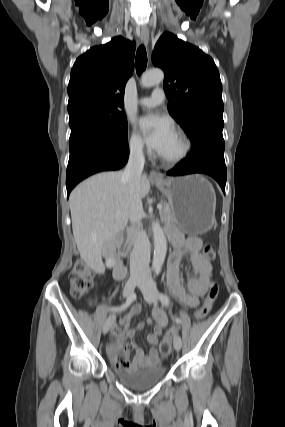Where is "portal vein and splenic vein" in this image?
I'll use <instances>...</instances> for the list:
<instances>
[{"mask_svg":"<svg viewBox=\"0 0 285 427\" xmlns=\"http://www.w3.org/2000/svg\"><path fill=\"white\" fill-rule=\"evenodd\" d=\"M157 208H158L159 210H161V209L163 208L162 204H158V205H157Z\"/></svg>","mask_w":285,"mask_h":427,"instance_id":"obj_1","label":"portal vein and splenic vein"}]
</instances>
